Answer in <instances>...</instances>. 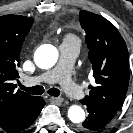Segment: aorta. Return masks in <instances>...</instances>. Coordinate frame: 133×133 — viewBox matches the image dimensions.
Masks as SVG:
<instances>
[{"instance_id":"obj_1","label":"aorta","mask_w":133,"mask_h":133,"mask_svg":"<svg viewBox=\"0 0 133 133\" xmlns=\"http://www.w3.org/2000/svg\"><path fill=\"white\" fill-rule=\"evenodd\" d=\"M36 65L41 69L52 68L58 60V51L52 45L44 46L34 57ZM68 118L73 123H81L85 119V111L77 105H72L68 109Z\"/></svg>"}]
</instances>
